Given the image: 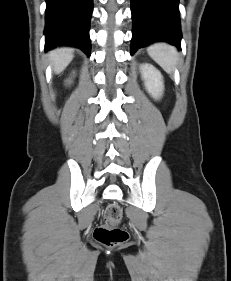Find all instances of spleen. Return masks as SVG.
Returning a JSON list of instances; mask_svg holds the SVG:
<instances>
[{
  "label": "spleen",
  "instance_id": "3e777b00",
  "mask_svg": "<svg viewBox=\"0 0 231 281\" xmlns=\"http://www.w3.org/2000/svg\"><path fill=\"white\" fill-rule=\"evenodd\" d=\"M149 56L156 61L167 73L171 74L178 62L175 47L166 43H155L147 49Z\"/></svg>",
  "mask_w": 231,
  "mask_h": 281
}]
</instances>
